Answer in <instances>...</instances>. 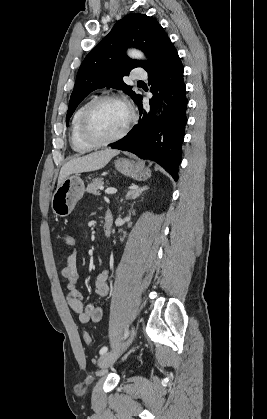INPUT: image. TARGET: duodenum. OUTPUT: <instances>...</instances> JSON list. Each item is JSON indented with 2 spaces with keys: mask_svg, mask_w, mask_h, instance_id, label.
I'll use <instances>...</instances> for the list:
<instances>
[{
  "mask_svg": "<svg viewBox=\"0 0 267 419\" xmlns=\"http://www.w3.org/2000/svg\"><path fill=\"white\" fill-rule=\"evenodd\" d=\"M113 227V219L111 217H105L104 224H103V234L104 236H110Z\"/></svg>",
  "mask_w": 267,
  "mask_h": 419,
  "instance_id": "obj_1",
  "label": "duodenum"
}]
</instances>
